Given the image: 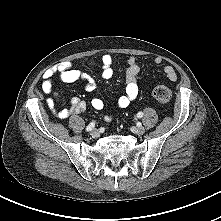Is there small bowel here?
<instances>
[{
  "mask_svg": "<svg viewBox=\"0 0 221 221\" xmlns=\"http://www.w3.org/2000/svg\"><path fill=\"white\" fill-rule=\"evenodd\" d=\"M153 62L156 65H160L162 63V58L156 57L154 58ZM88 63L90 65H100L102 69V76L105 79L112 77V57L109 54H104L100 57L99 60H90ZM126 66L125 93L117 100V105L121 109L127 108L130 102L137 97L139 91L138 76L140 74V67L137 64L135 57L130 56L126 60ZM162 70L165 77L169 81L177 80V73L172 66L164 65ZM56 74L63 82L72 83L82 81L84 83L85 90L88 92H91L95 89V81L88 74L74 69L70 61H65L58 64L57 66L47 70L43 75L44 80L42 83V89L45 93H52L53 96L47 99V105L56 117L65 119L71 115L83 113L86 109V104L79 97H72L67 107L60 110L56 109L58 93L54 92L53 90V77ZM91 105L96 110H102L104 108V102L100 98H93ZM104 119L106 121H111L112 117L110 115H105Z\"/></svg>",
  "mask_w": 221,
  "mask_h": 221,
  "instance_id": "small-bowel-1",
  "label": "small bowel"
}]
</instances>
